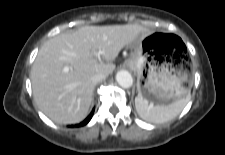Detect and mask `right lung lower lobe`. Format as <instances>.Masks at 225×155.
Returning <instances> with one entry per match:
<instances>
[{"mask_svg": "<svg viewBox=\"0 0 225 155\" xmlns=\"http://www.w3.org/2000/svg\"><path fill=\"white\" fill-rule=\"evenodd\" d=\"M93 113H94V110H92V112L90 113V115L83 122H81L80 124H78L77 126H84V125H86L91 120Z\"/></svg>", "mask_w": 225, "mask_h": 155, "instance_id": "right-lung-lower-lobe-1", "label": "right lung lower lobe"}]
</instances>
